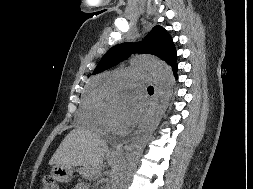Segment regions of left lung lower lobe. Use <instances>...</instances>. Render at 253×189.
<instances>
[{"mask_svg":"<svg viewBox=\"0 0 253 189\" xmlns=\"http://www.w3.org/2000/svg\"><path fill=\"white\" fill-rule=\"evenodd\" d=\"M173 72H174V75L177 76V65L173 66Z\"/></svg>","mask_w":253,"mask_h":189,"instance_id":"0a47b994","label":"left lung lower lobe"}]
</instances>
